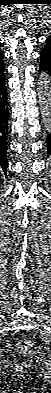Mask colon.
Returning a JSON list of instances; mask_svg holds the SVG:
<instances>
[{"label":"colon","instance_id":"1","mask_svg":"<svg viewBox=\"0 0 51 393\" xmlns=\"http://www.w3.org/2000/svg\"><path fill=\"white\" fill-rule=\"evenodd\" d=\"M17 350L20 355L24 357H29L34 353V350L31 347V344L28 340H19L16 344Z\"/></svg>","mask_w":51,"mask_h":393}]
</instances>
